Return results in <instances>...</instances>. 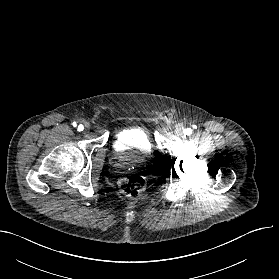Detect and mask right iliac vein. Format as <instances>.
<instances>
[{"mask_svg":"<svg viewBox=\"0 0 279 279\" xmlns=\"http://www.w3.org/2000/svg\"><path fill=\"white\" fill-rule=\"evenodd\" d=\"M85 127H86V128H89V125H88V124H86V125H85Z\"/></svg>","mask_w":279,"mask_h":279,"instance_id":"63e3f726","label":"right iliac vein"}]
</instances>
